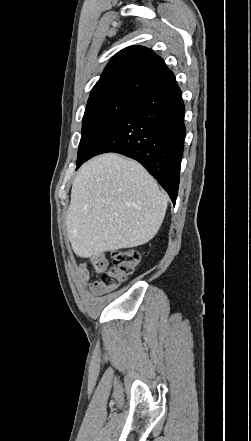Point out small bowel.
I'll list each match as a JSON object with an SVG mask.
<instances>
[{"instance_id":"c3829d8e","label":"small bowel","mask_w":251,"mask_h":441,"mask_svg":"<svg viewBox=\"0 0 251 441\" xmlns=\"http://www.w3.org/2000/svg\"><path fill=\"white\" fill-rule=\"evenodd\" d=\"M89 263L93 265L97 273H101L107 266V259L103 255H99L79 262L77 266V274L80 282L94 295L101 296L108 293L112 287L104 285L101 280H95L94 282L90 281Z\"/></svg>"}]
</instances>
